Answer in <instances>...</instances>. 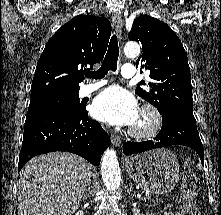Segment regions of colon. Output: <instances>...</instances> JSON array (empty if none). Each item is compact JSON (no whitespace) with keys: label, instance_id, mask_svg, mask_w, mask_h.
Returning <instances> with one entry per match:
<instances>
[{"label":"colon","instance_id":"1","mask_svg":"<svg viewBox=\"0 0 221 215\" xmlns=\"http://www.w3.org/2000/svg\"><path fill=\"white\" fill-rule=\"evenodd\" d=\"M181 188L180 207L182 209V215H199L195 204L196 176L188 161L185 162L182 169Z\"/></svg>","mask_w":221,"mask_h":215}]
</instances>
